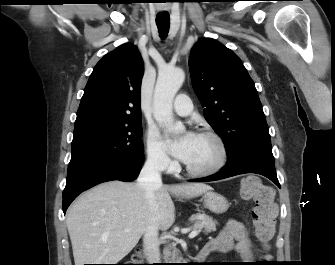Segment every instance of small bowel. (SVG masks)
I'll list each match as a JSON object with an SVG mask.
<instances>
[{
    "label": "small bowel",
    "instance_id": "1",
    "mask_svg": "<svg viewBox=\"0 0 335 265\" xmlns=\"http://www.w3.org/2000/svg\"><path fill=\"white\" fill-rule=\"evenodd\" d=\"M207 245L215 248L213 252H229L235 249L245 260H252L256 253L247 228L237 220L228 221L219 235Z\"/></svg>",
    "mask_w": 335,
    "mask_h": 265
}]
</instances>
